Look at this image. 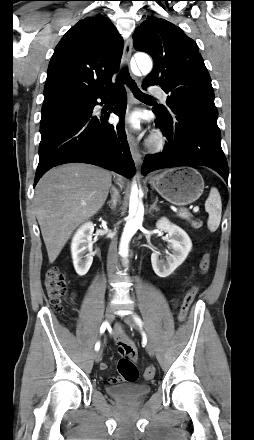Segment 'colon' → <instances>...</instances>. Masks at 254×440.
<instances>
[{
	"mask_svg": "<svg viewBox=\"0 0 254 440\" xmlns=\"http://www.w3.org/2000/svg\"><path fill=\"white\" fill-rule=\"evenodd\" d=\"M211 266V257L206 253L200 261L199 270L201 274L208 272ZM44 286L50 302L53 304L57 312L62 311V302L66 297V276L59 267H51L45 275ZM198 287L192 286L184 295L179 318L184 321L188 315L189 309L196 297ZM118 371L123 381L134 383L139 378L137 366L132 359L122 358L118 361ZM155 371L148 367L144 371V377L148 380L154 377Z\"/></svg>",
	"mask_w": 254,
	"mask_h": 440,
	"instance_id": "1",
	"label": "colon"
}]
</instances>
